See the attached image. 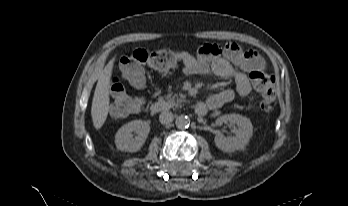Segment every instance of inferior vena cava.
<instances>
[{"label": "inferior vena cava", "mask_w": 348, "mask_h": 206, "mask_svg": "<svg viewBox=\"0 0 348 206\" xmlns=\"http://www.w3.org/2000/svg\"><path fill=\"white\" fill-rule=\"evenodd\" d=\"M174 119V116L172 114V112L170 111H163L161 112V114L159 115V121L161 124H170Z\"/></svg>", "instance_id": "1"}]
</instances>
